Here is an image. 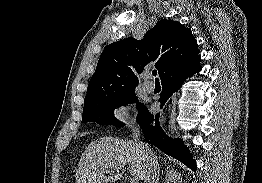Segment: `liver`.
Instances as JSON below:
<instances>
[{"mask_svg": "<svg viewBox=\"0 0 262 183\" xmlns=\"http://www.w3.org/2000/svg\"><path fill=\"white\" fill-rule=\"evenodd\" d=\"M127 164H131L130 174L143 180V160L137 144L131 140L101 137L92 141L82 153L76 181L111 183L121 178Z\"/></svg>", "mask_w": 262, "mask_h": 183, "instance_id": "obj_1", "label": "liver"}]
</instances>
